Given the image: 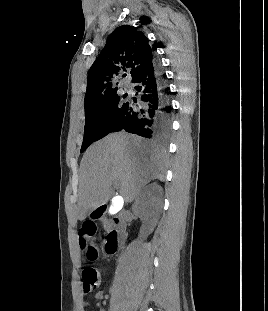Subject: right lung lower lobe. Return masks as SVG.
Segmentation results:
<instances>
[{
	"label": "right lung lower lobe",
	"instance_id": "1",
	"mask_svg": "<svg viewBox=\"0 0 268 311\" xmlns=\"http://www.w3.org/2000/svg\"><path fill=\"white\" fill-rule=\"evenodd\" d=\"M162 76L159 61L154 58L148 68L132 81L139 95L138 103L126 102L111 132L125 130L153 140L168 139L172 130V106Z\"/></svg>",
	"mask_w": 268,
	"mask_h": 311
}]
</instances>
